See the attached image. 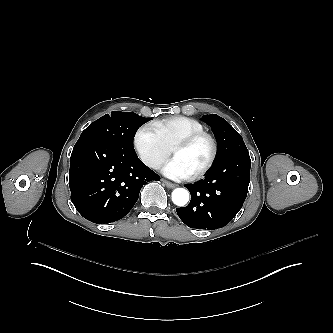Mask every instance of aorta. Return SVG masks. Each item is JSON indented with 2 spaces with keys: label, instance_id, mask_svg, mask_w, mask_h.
I'll list each match as a JSON object with an SVG mask.
<instances>
[{
  "label": "aorta",
  "instance_id": "obj_1",
  "mask_svg": "<svg viewBox=\"0 0 333 333\" xmlns=\"http://www.w3.org/2000/svg\"><path fill=\"white\" fill-rule=\"evenodd\" d=\"M189 201V192L184 188H175L172 192V202L177 206H185Z\"/></svg>",
  "mask_w": 333,
  "mask_h": 333
}]
</instances>
